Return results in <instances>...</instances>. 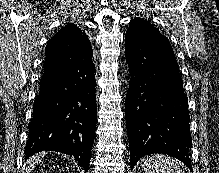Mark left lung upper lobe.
I'll list each match as a JSON object with an SVG mask.
<instances>
[{"label":"left lung upper lobe","instance_id":"left-lung-upper-lobe-1","mask_svg":"<svg viewBox=\"0 0 219 173\" xmlns=\"http://www.w3.org/2000/svg\"><path fill=\"white\" fill-rule=\"evenodd\" d=\"M125 38L168 40L150 22L138 17L130 21Z\"/></svg>","mask_w":219,"mask_h":173}]
</instances>
